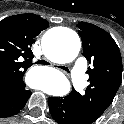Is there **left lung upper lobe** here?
Masks as SVG:
<instances>
[{
  "label": "left lung upper lobe",
  "instance_id": "obj_1",
  "mask_svg": "<svg viewBox=\"0 0 124 124\" xmlns=\"http://www.w3.org/2000/svg\"><path fill=\"white\" fill-rule=\"evenodd\" d=\"M90 85L85 94L73 91V98L84 124L95 122L112 103L121 84L122 59L114 39L105 30L86 22L78 23Z\"/></svg>",
  "mask_w": 124,
  "mask_h": 124
}]
</instances>
